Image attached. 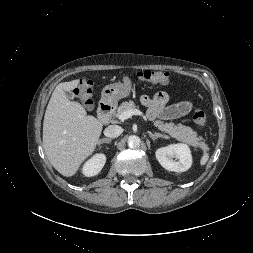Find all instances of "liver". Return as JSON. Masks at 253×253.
Wrapping results in <instances>:
<instances>
[{
    "mask_svg": "<svg viewBox=\"0 0 253 253\" xmlns=\"http://www.w3.org/2000/svg\"><path fill=\"white\" fill-rule=\"evenodd\" d=\"M79 80L59 83L46 108L43 122V148L52 166L63 176H73L95 150L103 124L87 115L83 106L65 94Z\"/></svg>",
    "mask_w": 253,
    "mask_h": 253,
    "instance_id": "1",
    "label": "liver"
}]
</instances>
